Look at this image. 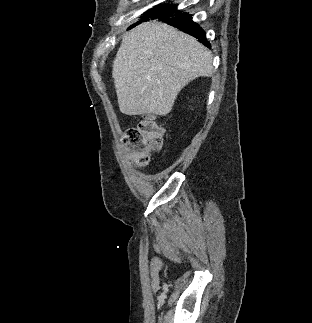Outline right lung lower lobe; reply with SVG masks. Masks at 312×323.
I'll use <instances>...</instances> for the list:
<instances>
[{
    "label": "right lung lower lobe",
    "mask_w": 312,
    "mask_h": 323,
    "mask_svg": "<svg viewBox=\"0 0 312 323\" xmlns=\"http://www.w3.org/2000/svg\"><path fill=\"white\" fill-rule=\"evenodd\" d=\"M159 20L189 33L190 35L198 38L201 43L210 47V43L205 38V32L192 21L190 14L177 12L169 16H164Z\"/></svg>",
    "instance_id": "right-lung-lower-lobe-1"
}]
</instances>
